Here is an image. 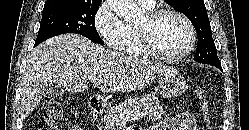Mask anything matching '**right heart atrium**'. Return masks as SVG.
<instances>
[{
  "label": "right heart atrium",
  "instance_id": "obj_1",
  "mask_svg": "<svg viewBox=\"0 0 249 130\" xmlns=\"http://www.w3.org/2000/svg\"><path fill=\"white\" fill-rule=\"evenodd\" d=\"M93 24L102 41L113 49H120L126 25L107 2H102L95 12Z\"/></svg>",
  "mask_w": 249,
  "mask_h": 130
}]
</instances>
